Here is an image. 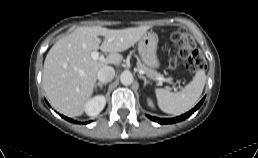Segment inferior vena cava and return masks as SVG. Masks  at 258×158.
<instances>
[{
    "label": "inferior vena cava",
    "instance_id": "obj_1",
    "mask_svg": "<svg viewBox=\"0 0 258 158\" xmlns=\"http://www.w3.org/2000/svg\"><path fill=\"white\" fill-rule=\"evenodd\" d=\"M114 76H115V70L110 66L101 68L97 73V78L101 83H107L112 81Z\"/></svg>",
    "mask_w": 258,
    "mask_h": 158
}]
</instances>
